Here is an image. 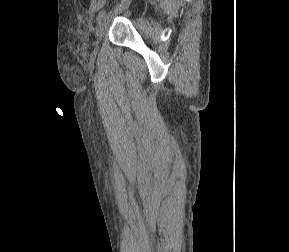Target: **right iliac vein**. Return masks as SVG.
<instances>
[{
	"label": "right iliac vein",
	"mask_w": 289,
	"mask_h": 252,
	"mask_svg": "<svg viewBox=\"0 0 289 252\" xmlns=\"http://www.w3.org/2000/svg\"><path fill=\"white\" fill-rule=\"evenodd\" d=\"M130 1L131 0H123V2L116 7L115 11L116 12L123 11L124 9H126L129 6ZM109 20H110V15H107L97 25V28H96V42H95L96 48L99 47V43H100V41H101V39H102L106 29H107Z\"/></svg>",
	"instance_id": "1"
}]
</instances>
